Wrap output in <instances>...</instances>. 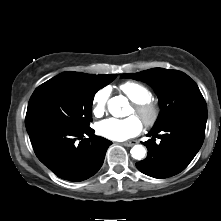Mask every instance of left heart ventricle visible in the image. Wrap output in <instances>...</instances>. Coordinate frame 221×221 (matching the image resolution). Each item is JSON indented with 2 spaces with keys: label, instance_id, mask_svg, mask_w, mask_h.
<instances>
[{
  "label": "left heart ventricle",
  "instance_id": "b2bd125f",
  "mask_svg": "<svg viewBox=\"0 0 221 221\" xmlns=\"http://www.w3.org/2000/svg\"><path fill=\"white\" fill-rule=\"evenodd\" d=\"M131 113H135L134 109H132Z\"/></svg>",
  "mask_w": 221,
  "mask_h": 221
}]
</instances>
